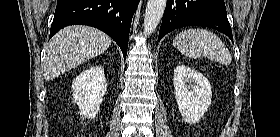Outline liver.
I'll return each instance as SVG.
<instances>
[{
    "label": "liver",
    "instance_id": "obj_1",
    "mask_svg": "<svg viewBox=\"0 0 280 137\" xmlns=\"http://www.w3.org/2000/svg\"><path fill=\"white\" fill-rule=\"evenodd\" d=\"M111 38L102 31L82 25L60 30L49 42L44 64L47 81L106 51Z\"/></svg>",
    "mask_w": 280,
    "mask_h": 137
}]
</instances>
